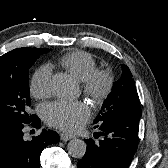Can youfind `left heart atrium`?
<instances>
[{
  "label": "left heart atrium",
  "mask_w": 168,
  "mask_h": 168,
  "mask_svg": "<svg viewBox=\"0 0 168 168\" xmlns=\"http://www.w3.org/2000/svg\"><path fill=\"white\" fill-rule=\"evenodd\" d=\"M46 122L67 132L80 130L90 117L88 105L82 101H56L46 106Z\"/></svg>",
  "instance_id": "left-heart-atrium-1"
}]
</instances>
